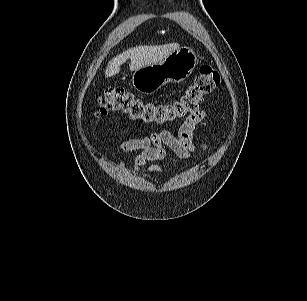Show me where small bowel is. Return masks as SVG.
<instances>
[{
  "mask_svg": "<svg viewBox=\"0 0 307 301\" xmlns=\"http://www.w3.org/2000/svg\"><path fill=\"white\" fill-rule=\"evenodd\" d=\"M206 116V110L197 111L181 124L177 134L162 130L149 135H132L123 140L118 147L120 167L126 166L123 155L132 151H140L132 165V171L135 174L139 173L146 163L162 160L166 156V149L172 151L179 159L187 161L195 150L193 144L195 127ZM148 173L161 174L162 169L154 163L149 167Z\"/></svg>",
  "mask_w": 307,
  "mask_h": 301,
  "instance_id": "obj_1",
  "label": "small bowel"
}]
</instances>
